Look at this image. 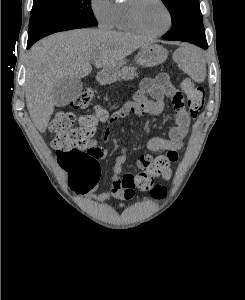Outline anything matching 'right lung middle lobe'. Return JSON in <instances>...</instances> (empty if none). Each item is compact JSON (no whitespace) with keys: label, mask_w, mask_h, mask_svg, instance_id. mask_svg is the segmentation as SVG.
<instances>
[{"label":"right lung middle lobe","mask_w":245,"mask_h":300,"mask_svg":"<svg viewBox=\"0 0 245 300\" xmlns=\"http://www.w3.org/2000/svg\"><path fill=\"white\" fill-rule=\"evenodd\" d=\"M90 26H97L91 0H34L28 42L55 32Z\"/></svg>","instance_id":"dd1d6c3e"}]
</instances>
